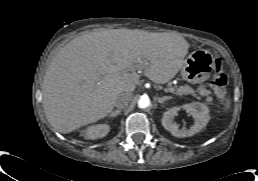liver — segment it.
<instances>
[{
	"mask_svg": "<svg viewBox=\"0 0 258 181\" xmlns=\"http://www.w3.org/2000/svg\"><path fill=\"white\" fill-rule=\"evenodd\" d=\"M189 44L181 36L130 29L93 31L67 43L49 64L42 83L50 125L69 133L112 111L144 75L165 84L184 64Z\"/></svg>",
	"mask_w": 258,
	"mask_h": 181,
	"instance_id": "1",
	"label": "liver"
}]
</instances>
